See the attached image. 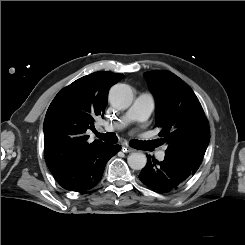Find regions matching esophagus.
Listing matches in <instances>:
<instances>
[{
    "instance_id": "34e87169",
    "label": "esophagus",
    "mask_w": 245,
    "mask_h": 245,
    "mask_svg": "<svg viewBox=\"0 0 245 245\" xmlns=\"http://www.w3.org/2000/svg\"><path fill=\"white\" fill-rule=\"evenodd\" d=\"M122 151L123 152H127V153L129 152L130 153V152H132L134 150L132 148L128 147V146H122Z\"/></svg>"
}]
</instances>
